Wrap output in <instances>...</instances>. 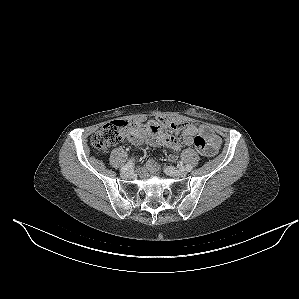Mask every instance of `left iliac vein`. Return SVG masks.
I'll use <instances>...</instances> for the list:
<instances>
[{"label":"left iliac vein","mask_w":299,"mask_h":299,"mask_svg":"<svg viewBox=\"0 0 299 299\" xmlns=\"http://www.w3.org/2000/svg\"><path fill=\"white\" fill-rule=\"evenodd\" d=\"M165 172L167 175L174 177H185L187 175V172L185 170L176 169L172 166L166 167Z\"/></svg>","instance_id":"obj_1"}]
</instances>
